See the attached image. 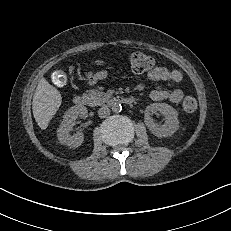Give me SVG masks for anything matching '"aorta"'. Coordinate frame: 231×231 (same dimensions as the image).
<instances>
[{"label": "aorta", "mask_w": 231, "mask_h": 231, "mask_svg": "<svg viewBox=\"0 0 231 231\" xmlns=\"http://www.w3.org/2000/svg\"><path fill=\"white\" fill-rule=\"evenodd\" d=\"M112 111H113L114 113H119V112H121V111H122V106H121V104H120L119 102H114V103L112 104Z\"/></svg>", "instance_id": "aorta-1"}]
</instances>
